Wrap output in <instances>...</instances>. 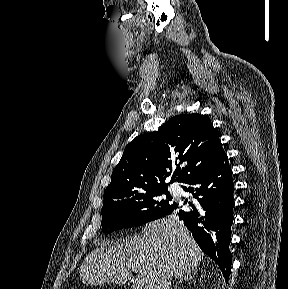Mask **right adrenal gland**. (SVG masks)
I'll use <instances>...</instances> for the list:
<instances>
[{"instance_id":"obj_1","label":"right adrenal gland","mask_w":288,"mask_h":289,"mask_svg":"<svg viewBox=\"0 0 288 289\" xmlns=\"http://www.w3.org/2000/svg\"><path fill=\"white\" fill-rule=\"evenodd\" d=\"M194 277V275L192 276L191 273H187V275L183 276L182 278L179 279V281L176 283L175 288L177 289V287L179 286V284L183 283L184 280L188 281V280H192Z\"/></svg>"}]
</instances>
